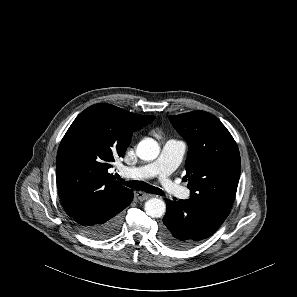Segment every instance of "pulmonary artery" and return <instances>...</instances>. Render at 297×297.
Listing matches in <instances>:
<instances>
[{
    "instance_id": "obj_1",
    "label": "pulmonary artery",
    "mask_w": 297,
    "mask_h": 297,
    "mask_svg": "<svg viewBox=\"0 0 297 297\" xmlns=\"http://www.w3.org/2000/svg\"><path fill=\"white\" fill-rule=\"evenodd\" d=\"M187 145L178 139L167 140L159 157L152 163L135 168H124L122 174L129 178L157 177L162 189L179 198L187 199L190 191L170 179V174L179 166L186 152Z\"/></svg>"
}]
</instances>
